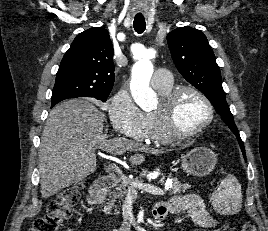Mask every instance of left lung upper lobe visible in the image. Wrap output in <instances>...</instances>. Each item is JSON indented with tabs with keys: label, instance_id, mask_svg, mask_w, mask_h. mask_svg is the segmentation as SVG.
<instances>
[{
	"label": "left lung upper lobe",
	"instance_id": "1",
	"mask_svg": "<svg viewBox=\"0 0 268 231\" xmlns=\"http://www.w3.org/2000/svg\"><path fill=\"white\" fill-rule=\"evenodd\" d=\"M172 59L181 75L210 100L216 112L243 145L233 116L225 99L221 73L206 36L188 26L167 35Z\"/></svg>",
	"mask_w": 268,
	"mask_h": 231
}]
</instances>
